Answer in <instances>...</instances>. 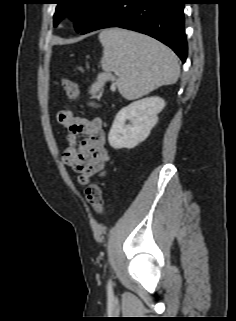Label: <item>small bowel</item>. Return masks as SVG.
Returning a JSON list of instances; mask_svg holds the SVG:
<instances>
[{"instance_id": "obj_1", "label": "small bowel", "mask_w": 236, "mask_h": 321, "mask_svg": "<svg viewBox=\"0 0 236 321\" xmlns=\"http://www.w3.org/2000/svg\"><path fill=\"white\" fill-rule=\"evenodd\" d=\"M56 120L67 130L68 147L64 151L63 162L79 174V182L84 184L94 176H104L109 155L105 148V132L101 121L98 118L77 116L68 107L57 113ZM77 135L86 136L78 145Z\"/></svg>"}]
</instances>
